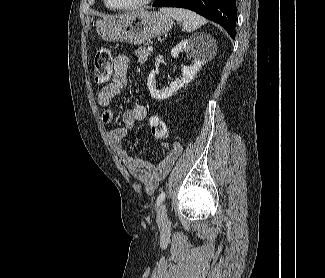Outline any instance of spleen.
<instances>
[{
  "label": "spleen",
  "instance_id": "spleen-1",
  "mask_svg": "<svg viewBox=\"0 0 325 278\" xmlns=\"http://www.w3.org/2000/svg\"><path fill=\"white\" fill-rule=\"evenodd\" d=\"M160 12L173 17L177 21H181L183 29L186 32L195 31L200 26L207 23V20L204 17L187 9L165 7L160 8Z\"/></svg>",
  "mask_w": 325,
  "mask_h": 278
}]
</instances>
